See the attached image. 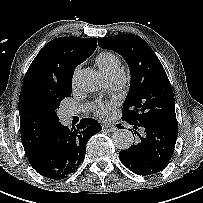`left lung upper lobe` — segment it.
<instances>
[{"label":"left lung upper lobe","mask_w":203,"mask_h":203,"mask_svg":"<svg viewBox=\"0 0 203 203\" xmlns=\"http://www.w3.org/2000/svg\"><path fill=\"white\" fill-rule=\"evenodd\" d=\"M98 45L119 53L131 72L122 119L133 124L157 122L177 125L172 87L150 46L141 37L132 34L98 38Z\"/></svg>","instance_id":"5c2ea615"}]
</instances>
